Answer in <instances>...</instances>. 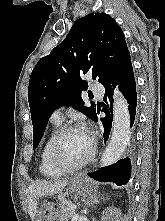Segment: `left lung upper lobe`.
<instances>
[{
    "label": "left lung upper lobe",
    "instance_id": "left-lung-upper-lobe-1",
    "mask_svg": "<svg viewBox=\"0 0 165 221\" xmlns=\"http://www.w3.org/2000/svg\"><path fill=\"white\" fill-rule=\"evenodd\" d=\"M130 54L116 21L105 13H90L78 19L64 41L34 67L28 89L33 123V146L37 148L50 115L62 105H72L91 119L94 105L86 107L81 91L87 83L81 76L104 84Z\"/></svg>",
    "mask_w": 165,
    "mask_h": 221
}]
</instances>
